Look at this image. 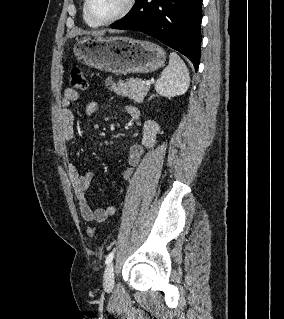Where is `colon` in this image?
<instances>
[{
  "label": "colon",
  "instance_id": "colon-1",
  "mask_svg": "<svg viewBox=\"0 0 284 319\" xmlns=\"http://www.w3.org/2000/svg\"><path fill=\"white\" fill-rule=\"evenodd\" d=\"M69 84L71 88L73 89L82 90L86 88L87 82H86L84 71L81 67L75 66L70 70ZM87 233H88V236L92 238L96 234V229L90 226L87 229Z\"/></svg>",
  "mask_w": 284,
  "mask_h": 319
}]
</instances>
